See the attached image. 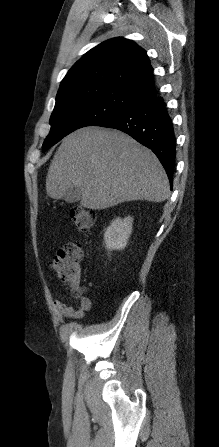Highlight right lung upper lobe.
Instances as JSON below:
<instances>
[{
	"label": "right lung upper lobe",
	"instance_id": "1",
	"mask_svg": "<svg viewBox=\"0 0 219 447\" xmlns=\"http://www.w3.org/2000/svg\"><path fill=\"white\" fill-rule=\"evenodd\" d=\"M77 85L115 87L140 101L156 94L146 51L123 38L110 39L88 51L64 77L60 89Z\"/></svg>",
	"mask_w": 219,
	"mask_h": 447
}]
</instances>
